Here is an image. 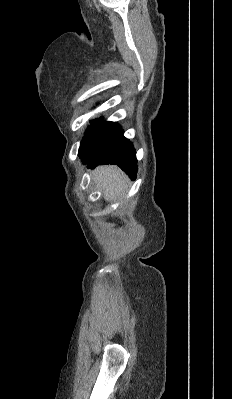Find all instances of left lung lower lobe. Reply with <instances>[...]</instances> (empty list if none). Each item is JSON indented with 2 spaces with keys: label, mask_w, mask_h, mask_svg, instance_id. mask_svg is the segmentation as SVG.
Listing matches in <instances>:
<instances>
[{
  "label": "left lung lower lobe",
  "mask_w": 232,
  "mask_h": 399,
  "mask_svg": "<svg viewBox=\"0 0 232 399\" xmlns=\"http://www.w3.org/2000/svg\"><path fill=\"white\" fill-rule=\"evenodd\" d=\"M84 164L95 167L102 164L119 166L132 180L137 174L136 151L133 144L123 136L121 128L110 137L101 147L81 156Z\"/></svg>",
  "instance_id": "left-lung-lower-lobe-1"
}]
</instances>
